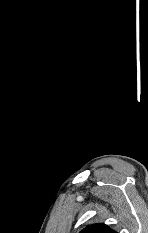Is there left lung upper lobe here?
Segmentation results:
<instances>
[{"label":"left lung upper lobe","instance_id":"5c2ea615","mask_svg":"<svg viewBox=\"0 0 148 233\" xmlns=\"http://www.w3.org/2000/svg\"><path fill=\"white\" fill-rule=\"evenodd\" d=\"M80 233H116L103 223L93 224L87 226Z\"/></svg>","mask_w":148,"mask_h":233}]
</instances>
